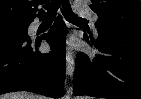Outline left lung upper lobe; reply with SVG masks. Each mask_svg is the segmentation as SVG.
Wrapping results in <instances>:
<instances>
[{
    "label": "left lung upper lobe",
    "mask_w": 141,
    "mask_h": 99,
    "mask_svg": "<svg viewBox=\"0 0 141 99\" xmlns=\"http://www.w3.org/2000/svg\"><path fill=\"white\" fill-rule=\"evenodd\" d=\"M97 29L141 32L140 0H90Z\"/></svg>",
    "instance_id": "left-lung-upper-lobe-1"
}]
</instances>
